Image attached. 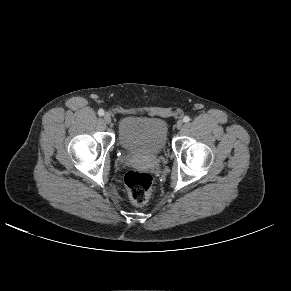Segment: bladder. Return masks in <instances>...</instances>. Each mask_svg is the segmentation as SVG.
I'll use <instances>...</instances> for the list:
<instances>
[{
  "label": "bladder",
  "instance_id": "bladder-1",
  "mask_svg": "<svg viewBox=\"0 0 291 291\" xmlns=\"http://www.w3.org/2000/svg\"><path fill=\"white\" fill-rule=\"evenodd\" d=\"M117 139L127 152L159 154L167 144L168 125L160 117L128 115L119 121Z\"/></svg>",
  "mask_w": 291,
  "mask_h": 291
}]
</instances>
